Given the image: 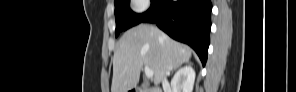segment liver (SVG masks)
<instances>
[{
  "mask_svg": "<svg viewBox=\"0 0 296 92\" xmlns=\"http://www.w3.org/2000/svg\"><path fill=\"white\" fill-rule=\"evenodd\" d=\"M191 55L190 47L173 40L155 26L140 24L133 27L122 35L114 52L111 92H128L135 88L145 65L153 70L157 86L167 68L180 67Z\"/></svg>",
  "mask_w": 296,
  "mask_h": 92,
  "instance_id": "6515ba94",
  "label": "liver"
}]
</instances>
